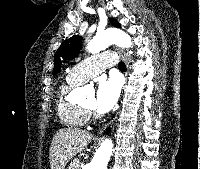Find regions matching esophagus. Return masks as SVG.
I'll return each mask as SVG.
<instances>
[{
	"label": "esophagus",
	"mask_w": 200,
	"mask_h": 169,
	"mask_svg": "<svg viewBox=\"0 0 200 169\" xmlns=\"http://www.w3.org/2000/svg\"><path fill=\"white\" fill-rule=\"evenodd\" d=\"M117 52L119 53L121 59L125 62V64H126L127 67H128V70H127V72H126V76H128V74H129V62H128V59H127L125 53H124L121 49L118 48V49H117ZM115 119H116V117H114V118H113L107 125H105L102 129H100L98 133H102L106 127H108L109 125L113 124V122L115 121Z\"/></svg>",
	"instance_id": "obj_1"
}]
</instances>
